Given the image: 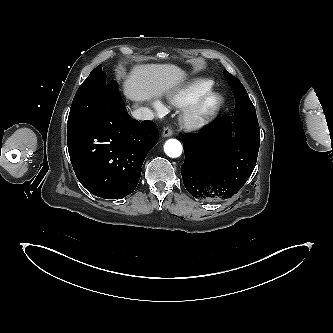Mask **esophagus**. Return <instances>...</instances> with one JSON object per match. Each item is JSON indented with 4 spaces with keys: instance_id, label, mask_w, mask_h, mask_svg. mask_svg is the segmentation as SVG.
I'll list each match as a JSON object with an SVG mask.
<instances>
[{
    "instance_id": "obj_1",
    "label": "esophagus",
    "mask_w": 333,
    "mask_h": 333,
    "mask_svg": "<svg viewBox=\"0 0 333 333\" xmlns=\"http://www.w3.org/2000/svg\"><path fill=\"white\" fill-rule=\"evenodd\" d=\"M173 134V130L170 127H166L163 132H162V136L163 137H170Z\"/></svg>"
}]
</instances>
